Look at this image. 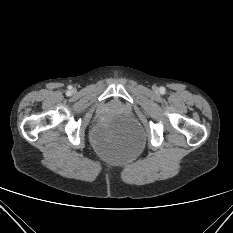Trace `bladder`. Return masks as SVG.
Listing matches in <instances>:
<instances>
[{
    "mask_svg": "<svg viewBox=\"0 0 233 233\" xmlns=\"http://www.w3.org/2000/svg\"><path fill=\"white\" fill-rule=\"evenodd\" d=\"M96 144H97V147L104 153H116V152H119L121 150L120 148L111 146L109 143L101 140L100 138H98L96 140ZM136 151H137L136 148H134V149L130 148V150H128V153L130 152V154H133Z\"/></svg>",
    "mask_w": 233,
    "mask_h": 233,
    "instance_id": "bladder-1",
    "label": "bladder"
}]
</instances>
